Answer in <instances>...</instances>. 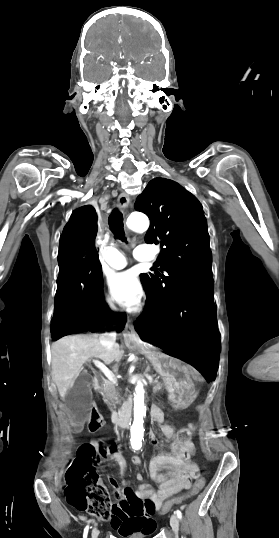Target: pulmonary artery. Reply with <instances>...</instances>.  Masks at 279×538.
<instances>
[{
	"mask_svg": "<svg viewBox=\"0 0 279 538\" xmlns=\"http://www.w3.org/2000/svg\"><path fill=\"white\" fill-rule=\"evenodd\" d=\"M137 260H142L140 257H135ZM127 264V255L119 249H111L109 255L102 260L104 269L115 270L121 269Z\"/></svg>",
	"mask_w": 279,
	"mask_h": 538,
	"instance_id": "pulmonary-artery-1",
	"label": "pulmonary artery"
}]
</instances>
